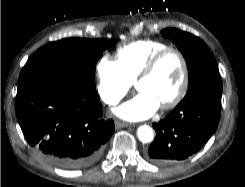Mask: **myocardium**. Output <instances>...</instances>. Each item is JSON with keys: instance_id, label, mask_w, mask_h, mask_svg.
<instances>
[{"instance_id": "myocardium-1", "label": "myocardium", "mask_w": 245, "mask_h": 187, "mask_svg": "<svg viewBox=\"0 0 245 187\" xmlns=\"http://www.w3.org/2000/svg\"><path fill=\"white\" fill-rule=\"evenodd\" d=\"M174 53L177 55V57L180 60L181 66H182V78L180 86L177 90V92L174 94V96L169 99L166 103L160 106L162 110H168L175 106H177L182 99L185 97L188 87H189V66L188 62L182 53L177 48L174 47H166L158 52H156L144 65V67L141 69L140 73L138 74L136 80H135V86L138 85L139 82L142 80L148 78L155 70L158 63L161 61L163 57H165L167 54Z\"/></svg>"}]
</instances>
